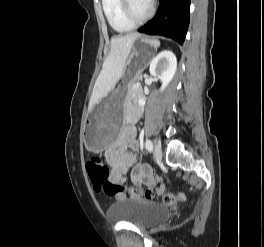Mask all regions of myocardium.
I'll use <instances>...</instances> for the list:
<instances>
[{"mask_svg": "<svg viewBox=\"0 0 264 247\" xmlns=\"http://www.w3.org/2000/svg\"><path fill=\"white\" fill-rule=\"evenodd\" d=\"M121 10L124 17L131 22L133 25L140 24L148 20L154 13V6L152 3L149 4L148 11L142 16H136L133 13L131 7V0H121Z\"/></svg>", "mask_w": 264, "mask_h": 247, "instance_id": "obj_1", "label": "myocardium"}]
</instances>
